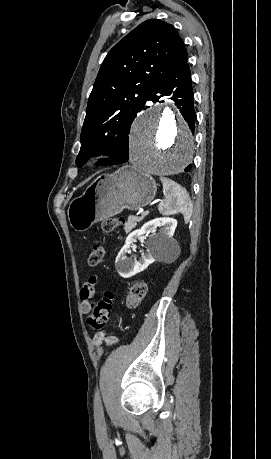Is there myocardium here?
Listing matches in <instances>:
<instances>
[{"label": "myocardium", "mask_w": 271, "mask_h": 459, "mask_svg": "<svg viewBox=\"0 0 271 459\" xmlns=\"http://www.w3.org/2000/svg\"><path fill=\"white\" fill-rule=\"evenodd\" d=\"M115 155L116 152L112 147L101 146L94 149L90 154V162L93 164H103L113 159Z\"/></svg>", "instance_id": "f54148a6"}]
</instances>
